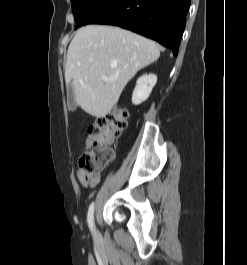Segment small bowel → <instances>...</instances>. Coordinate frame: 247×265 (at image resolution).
I'll return each mask as SVG.
<instances>
[{"label":"small bowel","instance_id":"1","mask_svg":"<svg viewBox=\"0 0 247 265\" xmlns=\"http://www.w3.org/2000/svg\"><path fill=\"white\" fill-rule=\"evenodd\" d=\"M77 177L84 186H95L99 182V175L86 174L82 169L78 171Z\"/></svg>","mask_w":247,"mask_h":265}]
</instances>
